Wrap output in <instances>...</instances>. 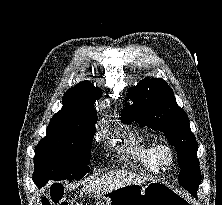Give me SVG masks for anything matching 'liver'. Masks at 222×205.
Masks as SVG:
<instances>
[{
  "label": "liver",
  "instance_id": "obj_1",
  "mask_svg": "<svg viewBox=\"0 0 222 205\" xmlns=\"http://www.w3.org/2000/svg\"><path fill=\"white\" fill-rule=\"evenodd\" d=\"M148 181V178L128 172L125 170L111 171L102 177L89 180L80 190V196L84 193H93L100 196L105 192H109L125 185L141 184Z\"/></svg>",
  "mask_w": 222,
  "mask_h": 205
}]
</instances>
